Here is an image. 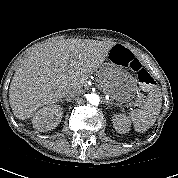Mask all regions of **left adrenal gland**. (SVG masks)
<instances>
[{"instance_id":"a2214340","label":"left adrenal gland","mask_w":178,"mask_h":178,"mask_svg":"<svg viewBox=\"0 0 178 178\" xmlns=\"http://www.w3.org/2000/svg\"><path fill=\"white\" fill-rule=\"evenodd\" d=\"M113 104L118 105L116 103H112V102L106 101V105H108L109 107H110V105L113 106Z\"/></svg>"}]
</instances>
